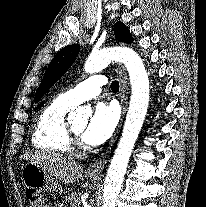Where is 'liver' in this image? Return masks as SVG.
Segmentation results:
<instances>
[{
  "label": "liver",
  "mask_w": 206,
  "mask_h": 207,
  "mask_svg": "<svg viewBox=\"0 0 206 207\" xmlns=\"http://www.w3.org/2000/svg\"><path fill=\"white\" fill-rule=\"evenodd\" d=\"M25 157L52 177L67 184L76 182L83 174L81 164L59 153L37 151L26 154Z\"/></svg>",
  "instance_id": "obj_1"
}]
</instances>
